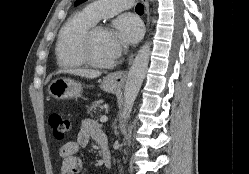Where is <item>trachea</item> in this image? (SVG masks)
<instances>
[{
	"instance_id": "1",
	"label": "trachea",
	"mask_w": 249,
	"mask_h": 174,
	"mask_svg": "<svg viewBox=\"0 0 249 174\" xmlns=\"http://www.w3.org/2000/svg\"><path fill=\"white\" fill-rule=\"evenodd\" d=\"M135 11H136L137 13H143V12H144V6H143V4L138 3V4L136 5Z\"/></svg>"
}]
</instances>
